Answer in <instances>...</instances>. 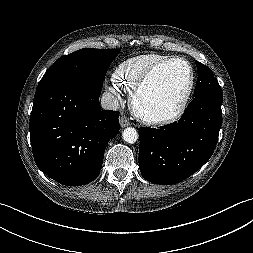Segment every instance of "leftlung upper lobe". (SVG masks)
<instances>
[{
  "instance_id": "obj_1",
  "label": "left lung upper lobe",
  "mask_w": 253,
  "mask_h": 253,
  "mask_svg": "<svg viewBox=\"0 0 253 253\" xmlns=\"http://www.w3.org/2000/svg\"><path fill=\"white\" fill-rule=\"evenodd\" d=\"M196 65L198 67V78L194 96L197 97L204 94L222 96L221 87L211 69L198 61H196Z\"/></svg>"
}]
</instances>
